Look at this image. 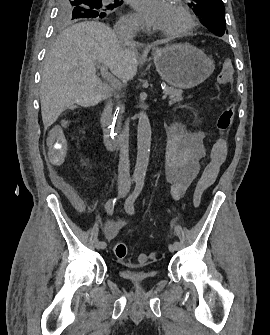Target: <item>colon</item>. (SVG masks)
I'll return each instance as SVG.
<instances>
[{
	"label": "colon",
	"instance_id": "5ec220e1",
	"mask_svg": "<svg viewBox=\"0 0 270 335\" xmlns=\"http://www.w3.org/2000/svg\"><path fill=\"white\" fill-rule=\"evenodd\" d=\"M223 69L218 76V82L222 85L229 86L233 78V59L232 57H224ZM235 111L232 106H225L219 114L216 121V128L220 132L227 131L234 117ZM213 151L211 159L205 166L201 176L198 179L196 192L194 195L193 203L195 206H199L202 201V196L205 191L214 183L219 168L225 159L226 154V142L225 141H214ZM114 254L119 260H127L128 258V247L124 242H117L114 245ZM152 259L149 254H141L138 260L145 264Z\"/></svg>",
	"mask_w": 270,
	"mask_h": 335
}]
</instances>
